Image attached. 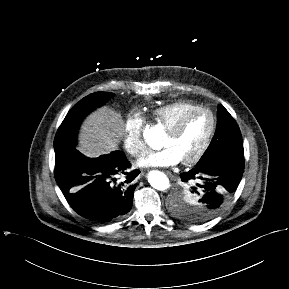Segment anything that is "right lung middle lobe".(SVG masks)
Wrapping results in <instances>:
<instances>
[{"instance_id": "1", "label": "right lung middle lobe", "mask_w": 289, "mask_h": 289, "mask_svg": "<svg viewBox=\"0 0 289 289\" xmlns=\"http://www.w3.org/2000/svg\"><path fill=\"white\" fill-rule=\"evenodd\" d=\"M112 95V93L107 92L93 93L72 107L56 133L54 139L55 155L75 145L77 131L83 118L95 108L103 105Z\"/></svg>"}]
</instances>
